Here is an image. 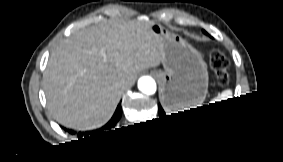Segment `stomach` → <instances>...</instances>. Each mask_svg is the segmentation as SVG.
I'll use <instances>...</instances> for the list:
<instances>
[{"mask_svg": "<svg viewBox=\"0 0 283 162\" xmlns=\"http://www.w3.org/2000/svg\"><path fill=\"white\" fill-rule=\"evenodd\" d=\"M151 32L160 45L163 71L156 76L167 106L198 105L207 90L208 73L200 53L180 36L152 22Z\"/></svg>", "mask_w": 283, "mask_h": 162, "instance_id": "1", "label": "stomach"}]
</instances>
